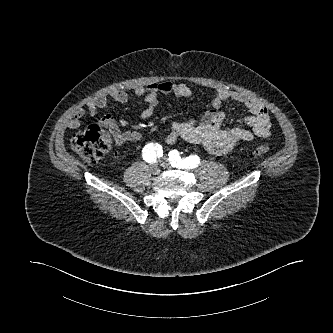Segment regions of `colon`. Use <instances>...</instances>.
I'll use <instances>...</instances> for the list:
<instances>
[{
	"label": "colon",
	"mask_w": 333,
	"mask_h": 333,
	"mask_svg": "<svg viewBox=\"0 0 333 333\" xmlns=\"http://www.w3.org/2000/svg\"><path fill=\"white\" fill-rule=\"evenodd\" d=\"M72 148L88 163L100 161L110 150L112 145L111 134L103 127L93 124L85 131L75 135L72 139ZM270 152L265 145L251 147L247 153L251 157H263Z\"/></svg>",
	"instance_id": "colon-1"
}]
</instances>
